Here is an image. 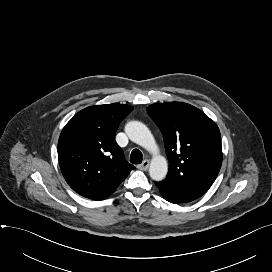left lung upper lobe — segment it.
Returning a JSON list of instances; mask_svg holds the SVG:
<instances>
[{"label":"left lung upper lobe","mask_w":272,"mask_h":272,"mask_svg":"<svg viewBox=\"0 0 272 272\" xmlns=\"http://www.w3.org/2000/svg\"><path fill=\"white\" fill-rule=\"evenodd\" d=\"M147 113L162 132L169 160V172L158 182L159 188L168 196L206 193L222 164L217 125L187 103H156Z\"/></svg>","instance_id":"left-lung-upper-lobe-1"}]
</instances>
